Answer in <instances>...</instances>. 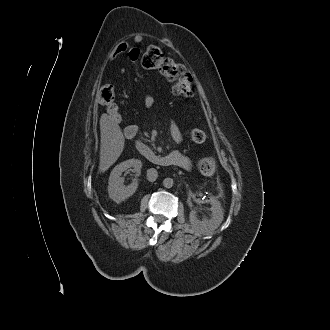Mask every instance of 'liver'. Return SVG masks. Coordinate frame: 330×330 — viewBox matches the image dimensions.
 Here are the masks:
<instances>
[{"instance_id":"liver-1","label":"liver","mask_w":330,"mask_h":330,"mask_svg":"<svg viewBox=\"0 0 330 330\" xmlns=\"http://www.w3.org/2000/svg\"><path fill=\"white\" fill-rule=\"evenodd\" d=\"M101 145L99 172L104 173L120 157L124 149V136L120 126L107 114L100 118Z\"/></svg>"}]
</instances>
